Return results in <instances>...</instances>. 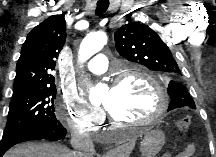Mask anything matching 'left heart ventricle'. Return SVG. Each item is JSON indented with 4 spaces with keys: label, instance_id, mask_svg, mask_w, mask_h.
<instances>
[{
    "label": "left heart ventricle",
    "instance_id": "obj_1",
    "mask_svg": "<svg viewBox=\"0 0 216 157\" xmlns=\"http://www.w3.org/2000/svg\"><path fill=\"white\" fill-rule=\"evenodd\" d=\"M102 101L117 119L129 122L148 118L158 102L155 91L138 77H129L118 87L108 89Z\"/></svg>",
    "mask_w": 216,
    "mask_h": 157
}]
</instances>
